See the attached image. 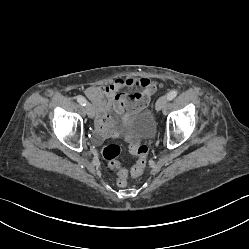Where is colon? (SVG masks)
<instances>
[{"mask_svg":"<svg viewBox=\"0 0 249 249\" xmlns=\"http://www.w3.org/2000/svg\"><path fill=\"white\" fill-rule=\"evenodd\" d=\"M130 151L138 157L136 165L133 166L130 171L133 177H137L141 175L145 169L149 149L145 143L138 141L131 145ZM121 152L122 147L119 144H109L102 148L101 155L109 162V167L118 173L117 184L120 187H125L128 184L127 172L122 169L120 163L116 160Z\"/></svg>","mask_w":249,"mask_h":249,"instance_id":"obj_1","label":"colon"}]
</instances>
